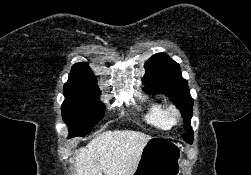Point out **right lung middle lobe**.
Listing matches in <instances>:
<instances>
[{
  "mask_svg": "<svg viewBox=\"0 0 251 175\" xmlns=\"http://www.w3.org/2000/svg\"><path fill=\"white\" fill-rule=\"evenodd\" d=\"M64 96L61 111L69 127V138L85 136L104 115L105 106L99 101V88L64 86Z\"/></svg>",
  "mask_w": 251,
  "mask_h": 175,
  "instance_id": "right-lung-middle-lobe-1",
  "label": "right lung middle lobe"
}]
</instances>
